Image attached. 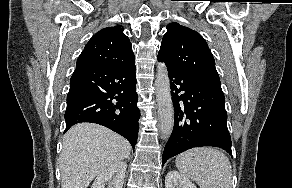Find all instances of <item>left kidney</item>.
<instances>
[{"label": "left kidney", "mask_w": 292, "mask_h": 188, "mask_svg": "<svg viewBox=\"0 0 292 188\" xmlns=\"http://www.w3.org/2000/svg\"><path fill=\"white\" fill-rule=\"evenodd\" d=\"M165 188H197L190 179L178 171H169L165 177Z\"/></svg>", "instance_id": "left-kidney-1"}]
</instances>
